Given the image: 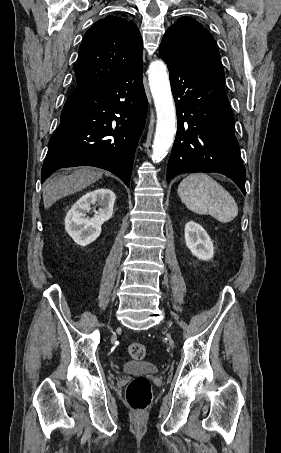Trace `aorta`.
<instances>
[{
    "instance_id": "aorta-1",
    "label": "aorta",
    "mask_w": 281,
    "mask_h": 453,
    "mask_svg": "<svg viewBox=\"0 0 281 453\" xmlns=\"http://www.w3.org/2000/svg\"><path fill=\"white\" fill-rule=\"evenodd\" d=\"M148 81L157 115L152 160L160 162L172 146L176 133V110L167 66L163 61L155 60L149 65Z\"/></svg>"
}]
</instances>
